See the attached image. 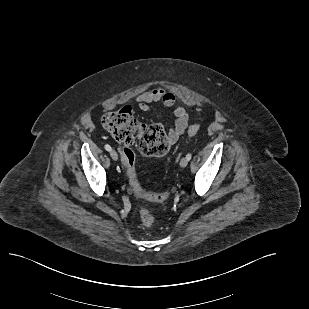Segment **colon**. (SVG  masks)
I'll use <instances>...</instances> for the list:
<instances>
[{
	"label": "colon",
	"mask_w": 309,
	"mask_h": 309,
	"mask_svg": "<svg viewBox=\"0 0 309 309\" xmlns=\"http://www.w3.org/2000/svg\"><path fill=\"white\" fill-rule=\"evenodd\" d=\"M101 122L122 145L121 157L133 192L152 202L165 201L169 197L168 192L150 193L144 190L139 183L135 172V154L132 149L133 143L138 140L139 149L145 156L165 155L170 144L163 127L159 124H142L129 108L106 113L102 116ZM198 131L199 126L193 125L188 133L195 135ZM140 219L145 227H150L154 223V216L147 207H141Z\"/></svg>",
	"instance_id": "colon-1"
}]
</instances>
